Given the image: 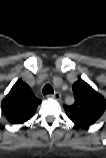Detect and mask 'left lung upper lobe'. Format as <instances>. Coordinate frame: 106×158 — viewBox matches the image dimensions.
<instances>
[{
    "label": "left lung upper lobe",
    "instance_id": "obj_1",
    "mask_svg": "<svg viewBox=\"0 0 106 158\" xmlns=\"http://www.w3.org/2000/svg\"><path fill=\"white\" fill-rule=\"evenodd\" d=\"M75 102L65 106L67 116L78 127H89L106 111V99L81 78L73 86Z\"/></svg>",
    "mask_w": 106,
    "mask_h": 158
}]
</instances>
